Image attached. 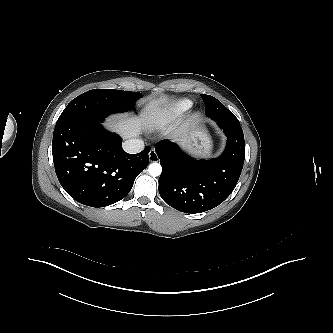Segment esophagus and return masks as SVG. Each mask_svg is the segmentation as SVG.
Listing matches in <instances>:
<instances>
[{
    "instance_id": "obj_1",
    "label": "esophagus",
    "mask_w": 333,
    "mask_h": 333,
    "mask_svg": "<svg viewBox=\"0 0 333 333\" xmlns=\"http://www.w3.org/2000/svg\"><path fill=\"white\" fill-rule=\"evenodd\" d=\"M148 156L150 162H157L159 160L158 154L154 149L150 150Z\"/></svg>"
}]
</instances>
